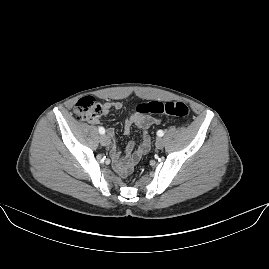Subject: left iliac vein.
Segmentation results:
<instances>
[{"mask_svg": "<svg viewBox=\"0 0 269 269\" xmlns=\"http://www.w3.org/2000/svg\"><path fill=\"white\" fill-rule=\"evenodd\" d=\"M156 147L158 149H162L164 147V139L163 138H158L156 141Z\"/></svg>", "mask_w": 269, "mask_h": 269, "instance_id": "4c4485c4", "label": "left iliac vein"}]
</instances>
